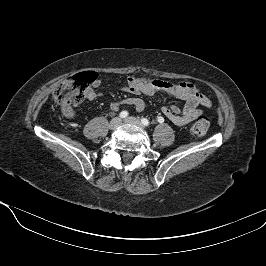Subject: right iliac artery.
<instances>
[{"label": "right iliac artery", "instance_id": "right-iliac-artery-1", "mask_svg": "<svg viewBox=\"0 0 266 266\" xmlns=\"http://www.w3.org/2000/svg\"><path fill=\"white\" fill-rule=\"evenodd\" d=\"M128 116V112L127 111H122L121 113H120V117L121 118H126Z\"/></svg>", "mask_w": 266, "mask_h": 266}]
</instances>
